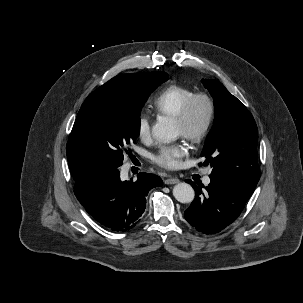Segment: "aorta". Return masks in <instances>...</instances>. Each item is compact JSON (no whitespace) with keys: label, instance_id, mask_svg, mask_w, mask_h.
<instances>
[{"label":"aorta","instance_id":"aorta-1","mask_svg":"<svg viewBox=\"0 0 303 303\" xmlns=\"http://www.w3.org/2000/svg\"><path fill=\"white\" fill-rule=\"evenodd\" d=\"M152 134L157 140L168 142L176 139L178 130L174 122L162 118L153 125ZM173 196L180 203H191L195 197V192L190 184L178 183L173 188Z\"/></svg>","mask_w":303,"mask_h":303}]
</instances>
